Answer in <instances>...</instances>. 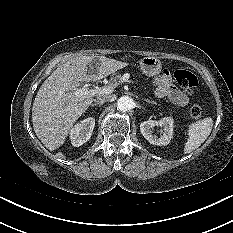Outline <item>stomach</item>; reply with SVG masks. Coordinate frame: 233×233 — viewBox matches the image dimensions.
Wrapping results in <instances>:
<instances>
[{
	"mask_svg": "<svg viewBox=\"0 0 233 233\" xmlns=\"http://www.w3.org/2000/svg\"><path fill=\"white\" fill-rule=\"evenodd\" d=\"M140 67L143 74L148 77H153L160 73L162 64L156 57L149 56L140 60Z\"/></svg>",
	"mask_w": 233,
	"mask_h": 233,
	"instance_id": "1",
	"label": "stomach"
}]
</instances>
